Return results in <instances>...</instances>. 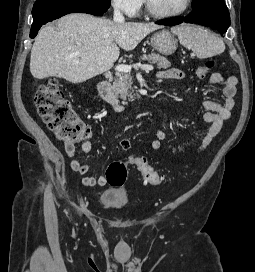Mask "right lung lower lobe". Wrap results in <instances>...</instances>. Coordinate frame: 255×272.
Listing matches in <instances>:
<instances>
[{
  "instance_id": "98d812e1",
  "label": "right lung lower lobe",
  "mask_w": 255,
  "mask_h": 272,
  "mask_svg": "<svg viewBox=\"0 0 255 272\" xmlns=\"http://www.w3.org/2000/svg\"><path fill=\"white\" fill-rule=\"evenodd\" d=\"M69 13H88L101 16L104 11L77 0H38L32 10L33 24L30 38L37 35L42 25Z\"/></svg>"
}]
</instances>
